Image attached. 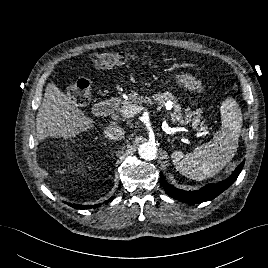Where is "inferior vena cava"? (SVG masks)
Returning <instances> with one entry per match:
<instances>
[{
    "mask_svg": "<svg viewBox=\"0 0 268 268\" xmlns=\"http://www.w3.org/2000/svg\"><path fill=\"white\" fill-rule=\"evenodd\" d=\"M125 131L118 125H109L104 130L106 138L111 140H121L124 138Z\"/></svg>",
    "mask_w": 268,
    "mask_h": 268,
    "instance_id": "1",
    "label": "inferior vena cava"
}]
</instances>
